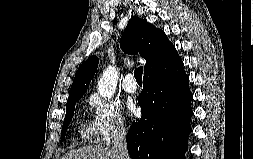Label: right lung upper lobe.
Masks as SVG:
<instances>
[{
    "label": "right lung upper lobe",
    "instance_id": "right-lung-upper-lobe-1",
    "mask_svg": "<svg viewBox=\"0 0 253 159\" xmlns=\"http://www.w3.org/2000/svg\"><path fill=\"white\" fill-rule=\"evenodd\" d=\"M125 53L140 54L145 58L144 77L164 74L182 63L175 46L165 33L138 16H133L120 40ZM98 66V58L92 56L77 70L71 85L69 98H81L86 92Z\"/></svg>",
    "mask_w": 253,
    "mask_h": 159
}]
</instances>
